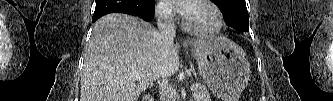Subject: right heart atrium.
I'll return each instance as SVG.
<instances>
[{
	"instance_id": "obj_1",
	"label": "right heart atrium",
	"mask_w": 333,
	"mask_h": 101,
	"mask_svg": "<svg viewBox=\"0 0 333 101\" xmlns=\"http://www.w3.org/2000/svg\"><path fill=\"white\" fill-rule=\"evenodd\" d=\"M156 17L162 22H170L174 17V11L165 1L158 3L155 11Z\"/></svg>"
}]
</instances>
